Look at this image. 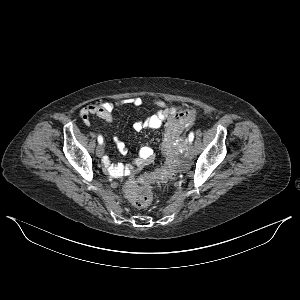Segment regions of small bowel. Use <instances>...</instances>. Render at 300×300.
<instances>
[{
	"instance_id": "c3829d8e",
	"label": "small bowel",
	"mask_w": 300,
	"mask_h": 300,
	"mask_svg": "<svg viewBox=\"0 0 300 300\" xmlns=\"http://www.w3.org/2000/svg\"><path fill=\"white\" fill-rule=\"evenodd\" d=\"M131 104L133 106H140L142 100L140 98L121 99L114 102L94 103L83 107L80 112V118L84 125H90V117L96 115L106 121L112 120V113L116 106ZM158 110L143 120H137L133 124V129L137 132L144 128H159L163 125L165 120L171 115L175 109L168 107L163 101H156ZM116 146L121 153H126V145L121 141H116ZM154 160V152L150 147H142L139 151L138 157L133 164H113L110 159L105 156L102 160V164L105 170L112 176L119 177L130 174L135 167H143L149 165Z\"/></svg>"
}]
</instances>
